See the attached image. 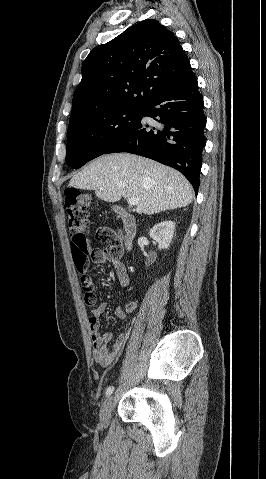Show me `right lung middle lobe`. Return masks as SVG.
Here are the masks:
<instances>
[{
	"instance_id": "1",
	"label": "right lung middle lobe",
	"mask_w": 266,
	"mask_h": 479,
	"mask_svg": "<svg viewBox=\"0 0 266 479\" xmlns=\"http://www.w3.org/2000/svg\"><path fill=\"white\" fill-rule=\"evenodd\" d=\"M143 107L119 108L69 121L66 161L75 169L103 155L140 120Z\"/></svg>"
}]
</instances>
